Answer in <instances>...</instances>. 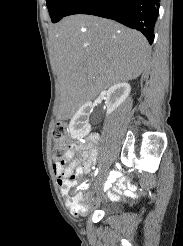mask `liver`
<instances>
[{
  "mask_svg": "<svg viewBox=\"0 0 183 246\" xmlns=\"http://www.w3.org/2000/svg\"><path fill=\"white\" fill-rule=\"evenodd\" d=\"M50 38L65 118L100 91L139 77L149 57L141 33L92 15L64 18Z\"/></svg>",
  "mask_w": 183,
  "mask_h": 246,
  "instance_id": "liver-1",
  "label": "liver"
}]
</instances>
